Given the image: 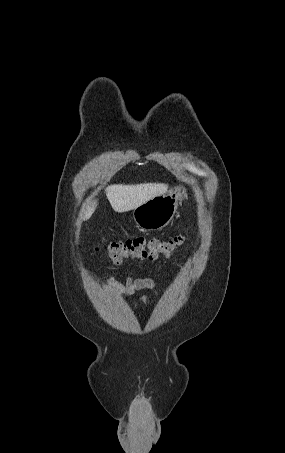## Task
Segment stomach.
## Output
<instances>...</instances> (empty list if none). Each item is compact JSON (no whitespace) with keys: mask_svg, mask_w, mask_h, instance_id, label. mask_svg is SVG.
<instances>
[{"mask_svg":"<svg viewBox=\"0 0 285 453\" xmlns=\"http://www.w3.org/2000/svg\"><path fill=\"white\" fill-rule=\"evenodd\" d=\"M184 194V189L178 186L137 206L133 211L137 227L148 231L166 227L173 219Z\"/></svg>","mask_w":285,"mask_h":453,"instance_id":"stomach-1","label":"stomach"}]
</instances>
